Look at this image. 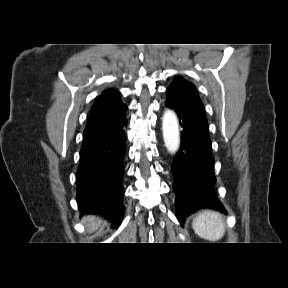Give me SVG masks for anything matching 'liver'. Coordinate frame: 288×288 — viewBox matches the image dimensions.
Segmentation results:
<instances>
[{"label":"liver","mask_w":288,"mask_h":288,"mask_svg":"<svg viewBox=\"0 0 288 288\" xmlns=\"http://www.w3.org/2000/svg\"><path fill=\"white\" fill-rule=\"evenodd\" d=\"M82 222L87 226L89 233L96 231L102 223L101 219L95 216H85Z\"/></svg>","instance_id":"obj_1"}]
</instances>
